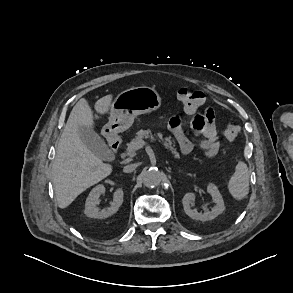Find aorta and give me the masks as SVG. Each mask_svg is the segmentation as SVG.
<instances>
[{"mask_svg":"<svg viewBox=\"0 0 293 293\" xmlns=\"http://www.w3.org/2000/svg\"><path fill=\"white\" fill-rule=\"evenodd\" d=\"M142 180L146 187H156L161 183L162 173L156 168H149L143 171Z\"/></svg>","mask_w":293,"mask_h":293,"instance_id":"obj_1","label":"aorta"}]
</instances>
